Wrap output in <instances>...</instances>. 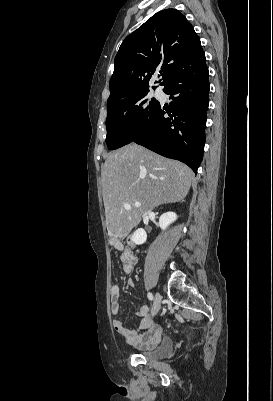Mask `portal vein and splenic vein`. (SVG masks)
I'll use <instances>...</instances> for the list:
<instances>
[{
	"label": "portal vein and splenic vein",
	"mask_w": 273,
	"mask_h": 401,
	"mask_svg": "<svg viewBox=\"0 0 273 401\" xmlns=\"http://www.w3.org/2000/svg\"><path fill=\"white\" fill-rule=\"evenodd\" d=\"M135 207H141V203H134ZM124 209H131V205H124Z\"/></svg>",
	"instance_id": "18ae733b"
}]
</instances>
